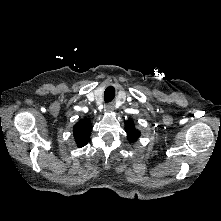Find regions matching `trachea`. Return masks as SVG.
<instances>
[{
	"instance_id": "3493384b",
	"label": "trachea",
	"mask_w": 221,
	"mask_h": 221,
	"mask_svg": "<svg viewBox=\"0 0 221 221\" xmlns=\"http://www.w3.org/2000/svg\"><path fill=\"white\" fill-rule=\"evenodd\" d=\"M115 97V89L112 86H109L104 92V101L106 103L111 102Z\"/></svg>"
}]
</instances>
